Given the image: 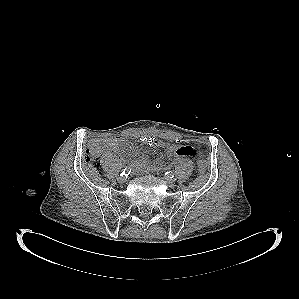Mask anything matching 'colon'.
I'll use <instances>...</instances> for the list:
<instances>
[{"label":"colon","mask_w":299,"mask_h":299,"mask_svg":"<svg viewBox=\"0 0 299 299\" xmlns=\"http://www.w3.org/2000/svg\"><path fill=\"white\" fill-rule=\"evenodd\" d=\"M105 146V142L100 139H95L90 142L88 150H87V161L95 162L98 160L103 148ZM207 169V162L203 158L201 154L197 155V170L199 173H204Z\"/></svg>","instance_id":"5ec220e1"}]
</instances>
